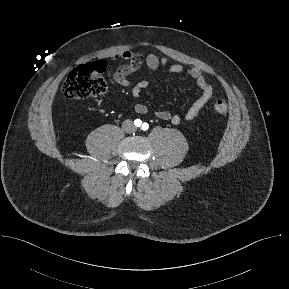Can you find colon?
<instances>
[{
  "mask_svg": "<svg viewBox=\"0 0 289 289\" xmlns=\"http://www.w3.org/2000/svg\"><path fill=\"white\" fill-rule=\"evenodd\" d=\"M106 64L103 62L87 63L75 68L65 79L62 90L70 99L82 100L96 97L106 90L104 71ZM214 110L221 115L228 111L226 102L219 99L214 104Z\"/></svg>",
  "mask_w": 289,
  "mask_h": 289,
  "instance_id": "1",
  "label": "colon"
}]
</instances>
